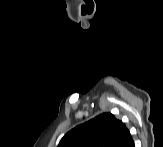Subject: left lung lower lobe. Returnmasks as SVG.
<instances>
[{
	"mask_svg": "<svg viewBox=\"0 0 163 147\" xmlns=\"http://www.w3.org/2000/svg\"><path fill=\"white\" fill-rule=\"evenodd\" d=\"M115 147H135L134 141L128 129L124 131Z\"/></svg>",
	"mask_w": 163,
	"mask_h": 147,
	"instance_id": "left-lung-lower-lobe-1",
	"label": "left lung lower lobe"
}]
</instances>
